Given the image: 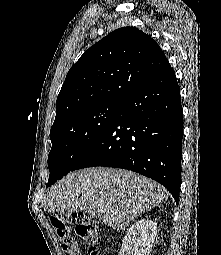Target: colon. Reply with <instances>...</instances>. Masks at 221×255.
Here are the masks:
<instances>
[{"mask_svg": "<svg viewBox=\"0 0 221 255\" xmlns=\"http://www.w3.org/2000/svg\"><path fill=\"white\" fill-rule=\"evenodd\" d=\"M50 221L64 253L80 255L69 227L73 224L75 232L90 245V255H97L96 245L100 241V223L96 218L82 213H65L53 214Z\"/></svg>", "mask_w": 221, "mask_h": 255, "instance_id": "1", "label": "colon"}]
</instances>
